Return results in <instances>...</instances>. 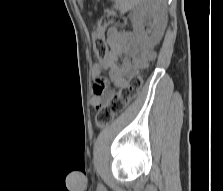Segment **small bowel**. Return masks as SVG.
<instances>
[{
	"label": "small bowel",
	"instance_id": "small-bowel-1",
	"mask_svg": "<svg viewBox=\"0 0 223 191\" xmlns=\"http://www.w3.org/2000/svg\"><path fill=\"white\" fill-rule=\"evenodd\" d=\"M107 43L108 52L104 67L107 78H95L91 99L93 106L102 105L114 94V91L109 88L110 82L115 87L122 88L129 77L135 75L139 68L146 66L154 58L151 49L140 47L132 34L117 28L108 31Z\"/></svg>",
	"mask_w": 223,
	"mask_h": 191
}]
</instances>
